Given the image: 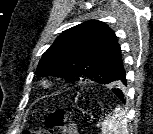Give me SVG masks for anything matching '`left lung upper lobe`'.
<instances>
[{"mask_svg":"<svg viewBox=\"0 0 153 134\" xmlns=\"http://www.w3.org/2000/svg\"><path fill=\"white\" fill-rule=\"evenodd\" d=\"M120 46L115 33L101 21H87L61 33L43 54L36 74L73 81L91 80L123 91Z\"/></svg>","mask_w":153,"mask_h":134,"instance_id":"1","label":"left lung upper lobe"}]
</instances>
